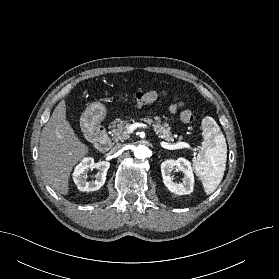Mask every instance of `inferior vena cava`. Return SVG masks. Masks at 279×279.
Returning a JSON list of instances; mask_svg holds the SVG:
<instances>
[{"label":"inferior vena cava","mask_w":279,"mask_h":279,"mask_svg":"<svg viewBox=\"0 0 279 279\" xmlns=\"http://www.w3.org/2000/svg\"><path fill=\"white\" fill-rule=\"evenodd\" d=\"M122 148H123V145L118 143L113 147L112 151L115 153V152L120 151Z\"/></svg>","instance_id":"1"}]
</instances>
